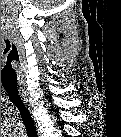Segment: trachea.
<instances>
[{
	"instance_id": "trachea-1",
	"label": "trachea",
	"mask_w": 121,
	"mask_h": 137,
	"mask_svg": "<svg viewBox=\"0 0 121 137\" xmlns=\"http://www.w3.org/2000/svg\"><path fill=\"white\" fill-rule=\"evenodd\" d=\"M19 61V53L15 45L12 44V50L9 57L4 62L1 80L4 89L6 90L11 102L18 108L23 122L27 129L34 128V121L30 115L29 110L22 102L18 92V72L16 70V63Z\"/></svg>"
}]
</instances>
